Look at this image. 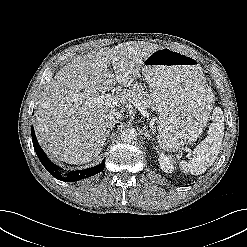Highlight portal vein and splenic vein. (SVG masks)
Masks as SVG:
<instances>
[{"instance_id": "portal-vein-and-splenic-vein-1", "label": "portal vein and splenic vein", "mask_w": 247, "mask_h": 247, "mask_svg": "<svg viewBox=\"0 0 247 247\" xmlns=\"http://www.w3.org/2000/svg\"><path fill=\"white\" fill-rule=\"evenodd\" d=\"M94 101L98 104V105H105L108 107H115L117 106L118 102L116 100V98L114 96H112L111 94H102L98 97L94 98ZM132 103L133 105L144 114V107H142L139 103V101L135 98L132 99ZM186 151L189 152V155L191 154V150L189 148H186Z\"/></svg>"}]
</instances>
